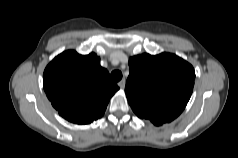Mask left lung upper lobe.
<instances>
[{
	"instance_id": "5c2ea615",
	"label": "left lung upper lobe",
	"mask_w": 238,
	"mask_h": 158,
	"mask_svg": "<svg viewBox=\"0 0 238 158\" xmlns=\"http://www.w3.org/2000/svg\"><path fill=\"white\" fill-rule=\"evenodd\" d=\"M129 68L125 93L139 118L161 125L181 114L193 91L191 64L170 53L142 54L129 59Z\"/></svg>"
}]
</instances>
